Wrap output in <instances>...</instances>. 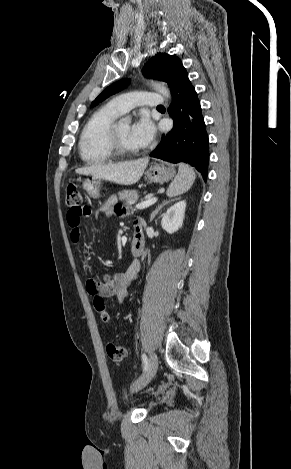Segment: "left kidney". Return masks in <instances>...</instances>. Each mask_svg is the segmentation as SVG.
Instances as JSON below:
<instances>
[{
  "label": "left kidney",
  "instance_id": "obj_1",
  "mask_svg": "<svg viewBox=\"0 0 291 469\" xmlns=\"http://www.w3.org/2000/svg\"><path fill=\"white\" fill-rule=\"evenodd\" d=\"M186 209V202L180 201L171 206L164 214L161 225L162 228L172 234L182 227Z\"/></svg>",
  "mask_w": 291,
  "mask_h": 469
}]
</instances>
